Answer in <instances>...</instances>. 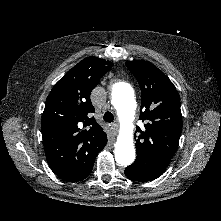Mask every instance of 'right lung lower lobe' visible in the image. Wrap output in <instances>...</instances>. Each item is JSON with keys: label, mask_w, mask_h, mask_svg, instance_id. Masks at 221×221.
Returning a JSON list of instances; mask_svg holds the SVG:
<instances>
[{"label": "right lung lower lobe", "mask_w": 221, "mask_h": 221, "mask_svg": "<svg viewBox=\"0 0 221 221\" xmlns=\"http://www.w3.org/2000/svg\"><path fill=\"white\" fill-rule=\"evenodd\" d=\"M93 165H94V163L92 164V166L90 167V169H89V171H88V173H87V175H86V177L91 173V171H92V168H93ZM85 177V178H86Z\"/></svg>", "instance_id": "obj_1"}]
</instances>
